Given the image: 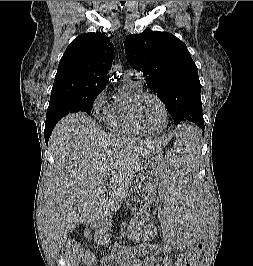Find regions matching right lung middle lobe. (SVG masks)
Instances as JSON below:
<instances>
[{
  "label": "right lung middle lobe",
  "mask_w": 253,
  "mask_h": 266,
  "mask_svg": "<svg viewBox=\"0 0 253 266\" xmlns=\"http://www.w3.org/2000/svg\"><path fill=\"white\" fill-rule=\"evenodd\" d=\"M100 92L50 97L45 123L58 122L62 117L73 112L81 111L90 114L92 104Z\"/></svg>",
  "instance_id": "right-lung-middle-lobe-1"
}]
</instances>
